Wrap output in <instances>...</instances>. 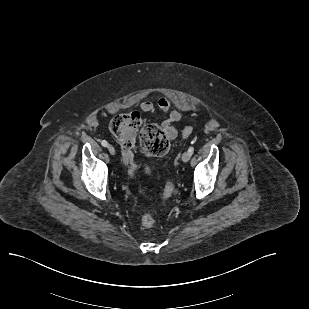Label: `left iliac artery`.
<instances>
[{"mask_svg": "<svg viewBox=\"0 0 309 309\" xmlns=\"http://www.w3.org/2000/svg\"><path fill=\"white\" fill-rule=\"evenodd\" d=\"M188 152L192 155L194 152V147H189Z\"/></svg>", "mask_w": 309, "mask_h": 309, "instance_id": "obj_1", "label": "left iliac artery"}]
</instances>
